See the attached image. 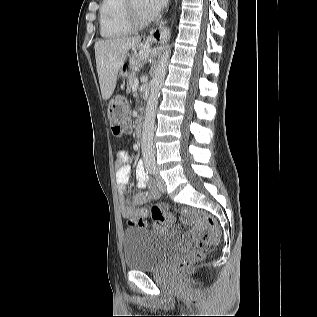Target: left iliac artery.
<instances>
[{
    "instance_id": "1",
    "label": "left iliac artery",
    "mask_w": 317,
    "mask_h": 317,
    "mask_svg": "<svg viewBox=\"0 0 317 317\" xmlns=\"http://www.w3.org/2000/svg\"><path fill=\"white\" fill-rule=\"evenodd\" d=\"M149 172H150V174H152L153 176H155V175L157 174L155 167L151 168V169L149 170Z\"/></svg>"
}]
</instances>
